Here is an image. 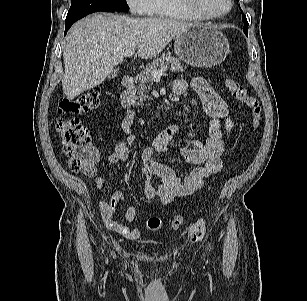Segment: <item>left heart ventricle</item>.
<instances>
[{"label":"left heart ventricle","instance_id":"left-heart-ventricle-1","mask_svg":"<svg viewBox=\"0 0 307 301\" xmlns=\"http://www.w3.org/2000/svg\"><path fill=\"white\" fill-rule=\"evenodd\" d=\"M201 6L204 8L214 12V13H221L225 11L228 6V0H198Z\"/></svg>","mask_w":307,"mask_h":301}]
</instances>
